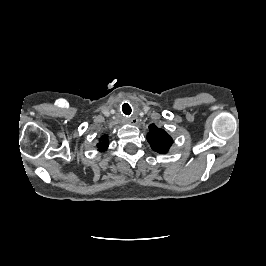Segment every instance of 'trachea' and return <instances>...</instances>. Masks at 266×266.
Segmentation results:
<instances>
[{"label":"trachea","instance_id":"trachea-1","mask_svg":"<svg viewBox=\"0 0 266 266\" xmlns=\"http://www.w3.org/2000/svg\"><path fill=\"white\" fill-rule=\"evenodd\" d=\"M122 110H123L124 114H126V115L131 114V111H132L131 107L127 103L123 104Z\"/></svg>","mask_w":266,"mask_h":266}]
</instances>
